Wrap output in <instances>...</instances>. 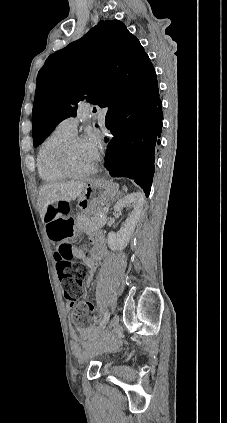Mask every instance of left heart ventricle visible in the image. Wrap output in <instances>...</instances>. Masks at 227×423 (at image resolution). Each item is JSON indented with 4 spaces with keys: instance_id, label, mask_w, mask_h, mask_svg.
<instances>
[{
    "instance_id": "b2bd125f",
    "label": "left heart ventricle",
    "mask_w": 227,
    "mask_h": 423,
    "mask_svg": "<svg viewBox=\"0 0 227 423\" xmlns=\"http://www.w3.org/2000/svg\"><path fill=\"white\" fill-rule=\"evenodd\" d=\"M69 162L76 172H83L95 163L85 142L77 143L72 147Z\"/></svg>"
}]
</instances>
